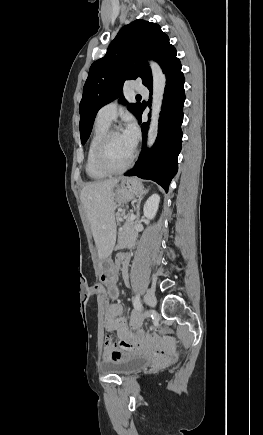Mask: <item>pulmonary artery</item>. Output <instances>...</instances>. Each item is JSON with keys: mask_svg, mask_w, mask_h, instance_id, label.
<instances>
[{"mask_svg": "<svg viewBox=\"0 0 263 435\" xmlns=\"http://www.w3.org/2000/svg\"><path fill=\"white\" fill-rule=\"evenodd\" d=\"M132 89L141 94H147V88L140 82H134ZM118 104L113 101L104 105L97 113V120L110 124L117 116Z\"/></svg>", "mask_w": 263, "mask_h": 435, "instance_id": "pulmonary-artery-1", "label": "pulmonary artery"}]
</instances>
